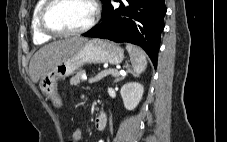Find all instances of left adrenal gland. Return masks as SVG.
<instances>
[{"label":"left adrenal gland","instance_id":"1","mask_svg":"<svg viewBox=\"0 0 227 142\" xmlns=\"http://www.w3.org/2000/svg\"><path fill=\"white\" fill-rule=\"evenodd\" d=\"M124 68L126 69V74L122 75V76L119 77V78H116V79L114 80V83H117V82L123 80V79L127 76L128 73H131V72H132V71L130 70V68L128 67L127 64L124 66Z\"/></svg>","mask_w":227,"mask_h":142}]
</instances>
